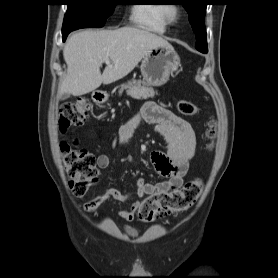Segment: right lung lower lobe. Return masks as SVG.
Instances as JSON below:
<instances>
[{
  "label": "right lung lower lobe",
  "instance_id": "right-lung-lower-lobe-1",
  "mask_svg": "<svg viewBox=\"0 0 278 278\" xmlns=\"http://www.w3.org/2000/svg\"><path fill=\"white\" fill-rule=\"evenodd\" d=\"M62 35H63V41H65V39H66L68 33H62Z\"/></svg>",
  "mask_w": 278,
  "mask_h": 278
}]
</instances>
